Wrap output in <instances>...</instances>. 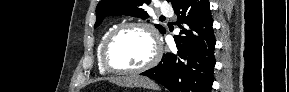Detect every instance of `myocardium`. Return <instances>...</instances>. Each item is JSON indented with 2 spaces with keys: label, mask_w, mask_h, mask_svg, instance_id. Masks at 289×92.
Masks as SVG:
<instances>
[{
  "label": "myocardium",
  "mask_w": 289,
  "mask_h": 92,
  "mask_svg": "<svg viewBox=\"0 0 289 92\" xmlns=\"http://www.w3.org/2000/svg\"><path fill=\"white\" fill-rule=\"evenodd\" d=\"M128 28H142L147 33L150 35L153 46H154V51L152 57L142 66L137 67V68H121L113 65L109 59V51L111 48L112 43L116 39V37L122 33L124 30ZM162 54V45L159 39V36L153 26L147 22L144 21H128V22H123L119 25H117L106 37L102 50H101V62L103 67L111 73H116V74H137L144 72L153 66H155L158 61L160 60Z\"/></svg>",
  "instance_id": "1"
}]
</instances>
